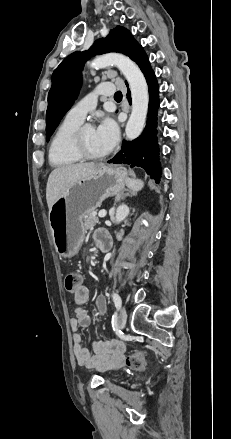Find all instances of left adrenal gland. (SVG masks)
Listing matches in <instances>:
<instances>
[{
  "label": "left adrenal gland",
  "instance_id": "a2214340",
  "mask_svg": "<svg viewBox=\"0 0 231 439\" xmlns=\"http://www.w3.org/2000/svg\"><path fill=\"white\" fill-rule=\"evenodd\" d=\"M129 194H131V195H136V193H134V192H131V191H129L128 193H121V194H119L118 196H117V199H119V198H122V197H124V196H127V195H129Z\"/></svg>",
  "mask_w": 231,
  "mask_h": 439
}]
</instances>
